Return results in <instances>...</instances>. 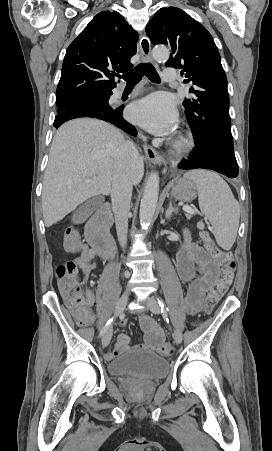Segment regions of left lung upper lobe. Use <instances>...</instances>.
Returning <instances> with one entry per match:
<instances>
[{
	"label": "left lung upper lobe",
	"instance_id": "5c2ea615",
	"mask_svg": "<svg viewBox=\"0 0 272 451\" xmlns=\"http://www.w3.org/2000/svg\"><path fill=\"white\" fill-rule=\"evenodd\" d=\"M146 33L153 44L171 48L166 66L181 69L185 81L195 86L189 90L194 97L183 105L199 146L221 144L233 151L227 77L210 33L176 7L159 9Z\"/></svg>",
	"mask_w": 272,
	"mask_h": 451
}]
</instances>
